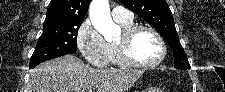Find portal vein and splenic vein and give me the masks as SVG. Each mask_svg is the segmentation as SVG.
<instances>
[{
  "mask_svg": "<svg viewBox=\"0 0 225 92\" xmlns=\"http://www.w3.org/2000/svg\"><path fill=\"white\" fill-rule=\"evenodd\" d=\"M88 92H92V90H91V89H89V90H88Z\"/></svg>",
  "mask_w": 225,
  "mask_h": 92,
  "instance_id": "obj_1",
  "label": "portal vein and splenic vein"
}]
</instances>
